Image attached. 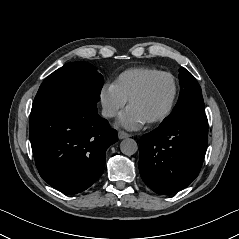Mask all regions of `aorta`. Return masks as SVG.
Masks as SVG:
<instances>
[{
    "instance_id": "1",
    "label": "aorta",
    "mask_w": 239,
    "mask_h": 239,
    "mask_svg": "<svg viewBox=\"0 0 239 239\" xmlns=\"http://www.w3.org/2000/svg\"><path fill=\"white\" fill-rule=\"evenodd\" d=\"M120 150L124 155L131 156L138 150L137 142L134 139L126 138L121 141Z\"/></svg>"
}]
</instances>
